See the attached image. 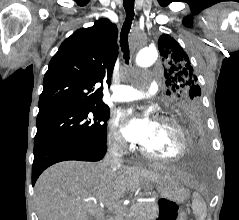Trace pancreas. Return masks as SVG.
Here are the masks:
<instances>
[{
  "instance_id": "obj_1",
  "label": "pancreas",
  "mask_w": 239,
  "mask_h": 220,
  "mask_svg": "<svg viewBox=\"0 0 239 220\" xmlns=\"http://www.w3.org/2000/svg\"><path fill=\"white\" fill-rule=\"evenodd\" d=\"M158 215V204L146 203L134 205L127 213L128 220H153ZM119 220V219H114Z\"/></svg>"
}]
</instances>
